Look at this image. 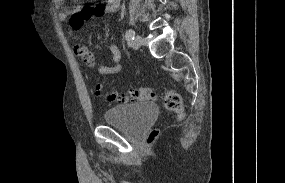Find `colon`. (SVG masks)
<instances>
[{
    "label": "colon",
    "mask_w": 285,
    "mask_h": 183,
    "mask_svg": "<svg viewBox=\"0 0 285 183\" xmlns=\"http://www.w3.org/2000/svg\"><path fill=\"white\" fill-rule=\"evenodd\" d=\"M97 92L102 94V87L97 85ZM105 97L109 101L129 102V101H148L155 97V92L150 87H140L130 90L126 93L108 92ZM165 108L169 111L176 112L180 119L184 117L181 95L175 90H169L164 96ZM157 136V131L153 130L148 138L147 143L150 144Z\"/></svg>",
    "instance_id": "obj_1"
}]
</instances>
